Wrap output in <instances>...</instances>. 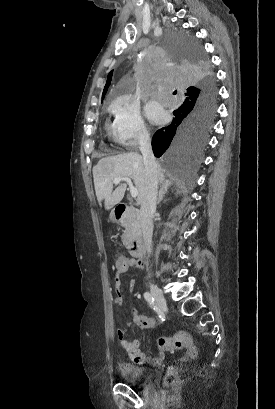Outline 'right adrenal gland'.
I'll return each mask as SVG.
<instances>
[{"label":"right adrenal gland","instance_id":"1","mask_svg":"<svg viewBox=\"0 0 275 409\" xmlns=\"http://www.w3.org/2000/svg\"><path fill=\"white\" fill-rule=\"evenodd\" d=\"M169 186H171V184H168V182H162L159 190L157 205H159V202H161L163 196H165L166 192H168Z\"/></svg>","mask_w":275,"mask_h":409}]
</instances>
